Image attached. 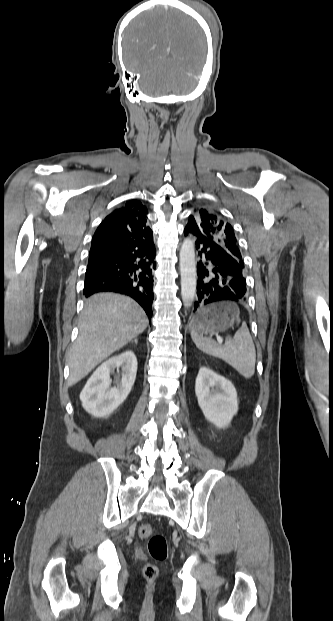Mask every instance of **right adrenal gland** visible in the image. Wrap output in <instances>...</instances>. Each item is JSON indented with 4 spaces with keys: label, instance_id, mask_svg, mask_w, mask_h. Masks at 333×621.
Wrapping results in <instances>:
<instances>
[{
    "label": "right adrenal gland",
    "instance_id": "1",
    "mask_svg": "<svg viewBox=\"0 0 333 621\" xmlns=\"http://www.w3.org/2000/svg\"><path fill=\"white\" fill-rule=\"evenodd\" d=\"M132 342H134L135 344L138 343L137 338H135L134 340H132Z\"/></svg>",
    "mask_w": 333,
    "mask_h": 621
}]
</instances>
